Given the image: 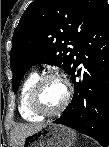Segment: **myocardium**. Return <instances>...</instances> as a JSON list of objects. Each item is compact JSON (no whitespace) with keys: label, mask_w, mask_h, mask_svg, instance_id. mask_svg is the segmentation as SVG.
Instances as JSON below:
<instances>
[{"label":"myocardium","mask_w":109,"mask_h":147,"mask_svg":"<svg viewBox=\"0 0 109 147\" xmlns=\"http://www.w3.org/2000/svg\"><path fill=\"white\" fill-rule=\"evenodd\" d=\"M50 79H58L63 82L65 86V98L63 102L56 108L50 111L44 110L37 102V98L43 84ZM71 98V86L66 76L59 72L47 73L41 75L32 86L27 99L28 109L39 117H51L62 113L68 106Z\"/></svg>","instance_id":"obj_1"}]
</instances>
